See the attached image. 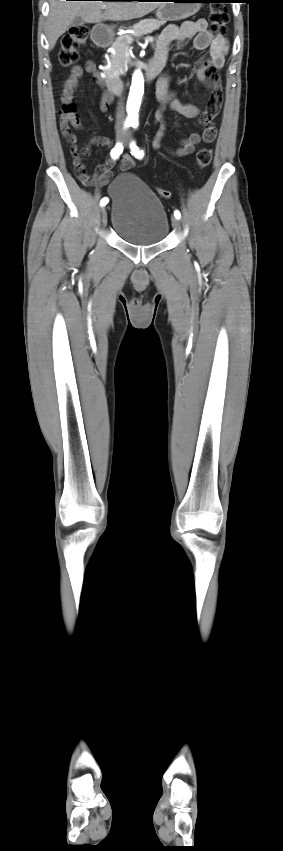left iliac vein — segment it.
Segmentation results:
<instances>
[{
	"mask_svg": "<svg viewBox=\"0 0 283 851\" xmlns=\"http://www.w3.org/2000/svg\"><path fill=\"white\" fill-rule=\"evenodd\" d=\"M171 222H172V227H173L176 231H178V230L180 229V222H179V219H177L176 217H173V218L171 219Z\"/></svg>",
	"mask_w": 283,
	"mask_h": 851,
	"instance_id": "1",
	"label": "left iliac vein"
}]
</instances>
